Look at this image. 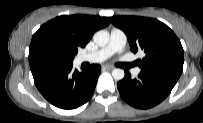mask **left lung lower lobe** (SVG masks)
Returning a JSON list of instances; mask_svg holds the SVG:
<instances>
[{
    "label": "left lung lower lobe",
    "mask_w": 203,
    "mask_h": 123,
    "mask_svg": "<svg viewBox=\"0 0 203 123\" xmlns=\"http://www.w3.org/2000/svg\"><path fill=\"white\" fill-rule=\"evenodd\" d=\"M179 76L162 71H141L132 79L128 71L117 84L121 97L131 106L151 108L162 102L177 83Z\"/></svg>",
    "instance_id": "obj_1"
}]
</instances>
